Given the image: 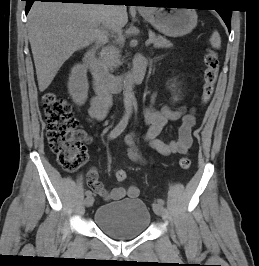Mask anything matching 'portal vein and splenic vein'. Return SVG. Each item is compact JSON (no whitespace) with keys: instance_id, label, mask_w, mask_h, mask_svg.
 I'll return each instance as SVG.
<instances>
[{"instance_id":"1","label":"portal vein and splenic vein","mask_w":259,"mask_h":266,"mask_svg":"<svg viewBox=\"0 0 259 266\" xmlns=\"http://www.w3.org/2000/svg\"><path fill=\"white\" fill-rule=\"evenodd\" d=\"M153 41H154L153 38H149V39L146 41V46L150 45Z\"/></svg>"}]
</instances>
